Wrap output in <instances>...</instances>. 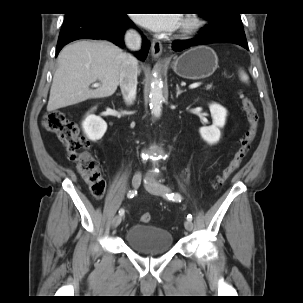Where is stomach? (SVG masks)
Returning <instances> with one entry per match:
<instances>
[{"instance_id": "0dacf381", "label": "stomach", "mask_w": 303, "mask_h": 303, "mask_svg": "<svg viewBox=\"0 0 303 303\" xmlns=\"http://www.w3.org/2000/svg\"><path fill=\"white\" fill-rule=\"evenodd\" d=\"M171 67L178 76L184 79H204L211 76L217 69L218 57L210 47L196 46L174 59Z\"/></svg>"}]
</instances>
